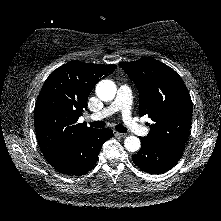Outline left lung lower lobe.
I'll use <instances>...</instances> for the list:
<instances>
[{
    "instance_id": "0a47b994",
    "label": "left lung lower lobe",
    "mask_w": 221,
    "mask_h": 221,
    "mask_svg": "<svg viewBox=\"0 0 221 221\" xmlns=\"http://www.w3.org/2000/svg\"><path fill=\"white\" fill-rule=\"evenodd\" d=\"M140 139L141 149L132 156V159L145 172L163 173L174 167L183 154L182 150L156 145L144 137H140Z\"/></svg>"
}]
</instances>
